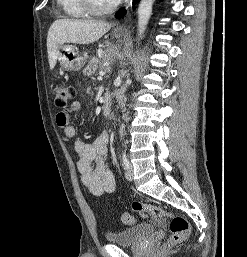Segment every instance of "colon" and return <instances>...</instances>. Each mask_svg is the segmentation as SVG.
Instances as JSON below:
<instances>
[{"label": "colon", "mask_w": 247, "mask_h": 257, "mask_svg": "<svg viewBox=\"0 0 247 257\" xmlns=\"http://www.w3.org/2000/svg\"><path fill=\"white\" fill-rule=\"evenodd\" d=\"M55 96V102L60 109V113H68V108L75 97L74 88L65 83H58L55 86ZM132 212L133 213H125L122 216V220L125 224H133L135 222L136 218L134 214L142 217L151 216L156 220L168 218L170 220L169 227L171 234L167 241V246L180 244L190 235L191 226L185 217L171 213L160 206L142 202H133Z\"/></svg>", "instance_id": "colon-1"}]
</instances>
